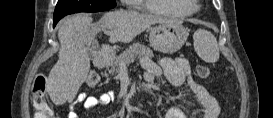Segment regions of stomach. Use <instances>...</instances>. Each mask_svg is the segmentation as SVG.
<instances>
[{
  "label": "stomach",
  "instance_id": "0dacf381",
  "mask_svg": "<svg viewBox=\"0 0 273 118\" xmlns=\"http://www.w3.org/2000/svg\"><path fill=\"white\" fill-rule=\"evenodd\" d=\"M188 35L180 23H160L150 29L149 42L155 50L171 54L183 46Z\"/></svg>",
  "mask_w": 273,
  "mask_h": 118
}]
</instances>
